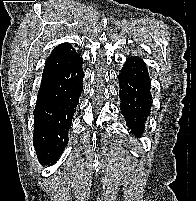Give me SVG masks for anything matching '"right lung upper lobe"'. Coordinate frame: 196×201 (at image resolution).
Wrapping results in <instances>:
<instances>
[{
	"instance_id": "cb5924a9",
	"label": "right lung upper lobe",
	"mask_w": 196,
	"mask_h": 201,
	"mask_svg": "<svg viewBox=\"0 0 196 201\" xmlns=\"http://www.w3.org/2000/svg\"><path fill=\"white\" fill-rule=\"evenodd\" d=\"M78 55L76 53V51L70 46L68 45V43H64V44H60L58 45L52 52H51V56H56V55Z\"/></svg>"
}]
</instances>
